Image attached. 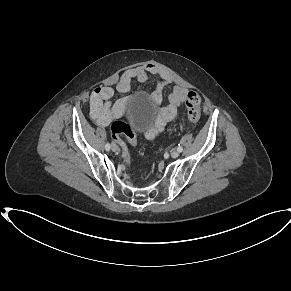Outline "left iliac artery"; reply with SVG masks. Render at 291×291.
<instances>
[{
	"label": "left iliac artery",
	"mask_w": 291,
	"mask_h": 291,
	"mask_svg": "<svg viewBox=\"0 0 291 291\" xmlns=\"http://www.w3.org/2000/svg\"><path fill=\"white\" fill-rule=\"evenodd\" d=\"M177 150H178L179 152H182V151H183L182 146L179 145V147L177 148Z\"/></svg>",
	"instance_id": "obj_1"
}]
</instances>
